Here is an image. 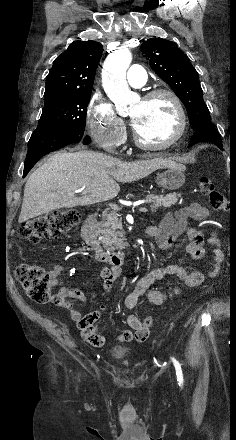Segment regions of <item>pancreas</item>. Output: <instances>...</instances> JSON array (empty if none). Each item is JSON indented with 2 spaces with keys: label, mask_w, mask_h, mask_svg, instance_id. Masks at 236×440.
I'll list each match as a JSON object with an SVG mask.
<instances>
[{
  "label": "pancreas",
  "mask_w": 236,
  "mask_h": 440,
  "mask_svg": "<svg viewBox=\"0 0 236 440\" xmlns=\"http://www.w3.org/2000/svg\"><path fill=\"white\" fill-rule=\"evenodd\" d=\"M179 197L180 195L176 193H169L165 196L150 194L146 196V200L152 203L151 208L156 211L159 207H171L177 203ZM98 232L106 251L113 252L115 249L125 248L122 223L116 212L103 215L102 221L98 224Z\"/></svg>",
  "instance_id": "cf45deb5"
}]
</instances>
